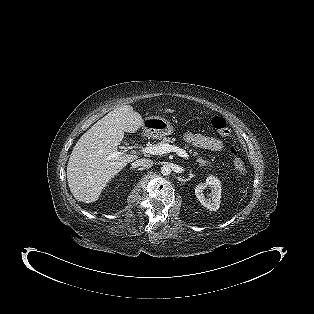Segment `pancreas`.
<instances>
[{
	"instance_id": "cf45deb5",
	"label": "pancreas",
	"mask_w": 314,
	"mask_h": 314,
	"mask_svg": "<svg viewBox=\"0 0 314 314\" xmlns=\"http://www.w3.org/2000/svg\"><path fill=\"white\" fill-rule=\"evenodd\" d=\"M174 142H175V138L171 139L169 137L168 138L164 137L157 145H159V144H170V143H174ZM185 148L189 149V153L197 158V162L199 163L200 167L211 166V162L208 159H205V158L199 156L198 153L195 150L189 148L188 145H185Z\"/></svg>"
}]
</instances>
